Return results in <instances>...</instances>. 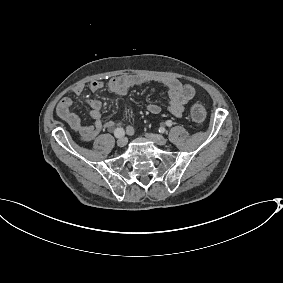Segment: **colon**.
<instances>
[{
	"label": "colon",
	"instance_id": "1",
	"mask_svg": "<svg viewBox=\"0 0 283 283\" xmlns=\"http://www.w3.org/2000/svg\"><path fill=\"white\" fill-rule=\"evenodd\" d=\"M190 115L194 121L200 122L205 119L206 110L203 105L196 103L192 105L190 109Z\"/></svg>",
	"mask_w": 283,
	"mask_h": 283
}]
</instances>
